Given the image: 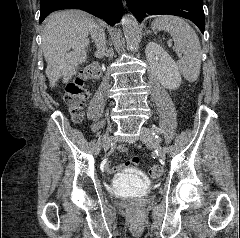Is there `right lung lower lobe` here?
Wrapping results in <instances>:
<instances>
[{"instance_id": "1", "label": "right lung lower lobe", "mask_w": 240, "mask_h": 238, "mask_svg": "<svg viewBox=\"0 0 240 238\" xmlns=\"http://www.w3.org/2000/svg\"><path fill=\"white\" fill-rule=\"evenodd\" d=\"M71 8L87 11L103 19L109 25L118 23L123 13L121 0H40L39 22H42L53 11Z\"/></svg>"}]
</instances>
